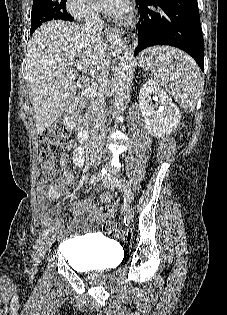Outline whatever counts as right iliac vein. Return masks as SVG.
I'll list each match as a JSON object with an SVG mask.
<instances>
[{"mask_svg":"<svg viewBox=\"0 0 227 315\" xmlns=\"http://www.w3.org/2000/svg\"><path fill=\"white\" fill-rule=\"evenodd\" d=\"M52 240H53V239H52ZM49 244H50V241L46 242V243L44 244V248L48 247ZM42 259H43V251L40 250V251L37 253V256L35 257V265L40 264L41 261H42Z\"/></svg>","mask_w":227,"mask_h":315,"instance_id":"right-iliac-vein-1","label":"right iliac vein"}]
</instances>
